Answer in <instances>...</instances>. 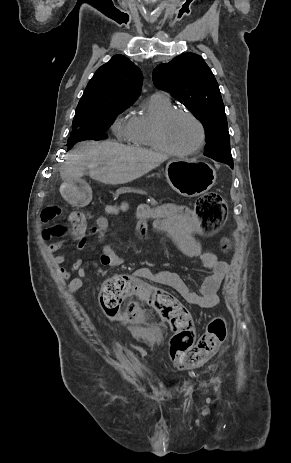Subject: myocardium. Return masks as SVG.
Returning <instances> with one entry per match:
<instances>
[{"label": "myocardium", "instance_id": "1", "mask_svg": "<svg viewBox=\"0 0 291 463\" xmlns=\"http://www.w3.org/2000/svg\"><path fill=\"white\" fill-rule=\"evenodd\" d=\"M178 116H186L193 120L199 128L200 136L198 143L188 150H176L168 144L165 138V129L169 122ZM154 139L157 147L164 153L175 157H187L199 152L206 142V129L202 121L192 112L183 109H172L162 115L155 123Z\"/></svg>", "mask_w": 291, "mask_h": 463}]
</instances>
